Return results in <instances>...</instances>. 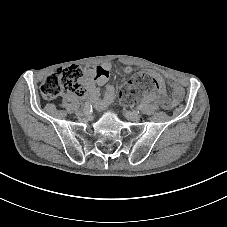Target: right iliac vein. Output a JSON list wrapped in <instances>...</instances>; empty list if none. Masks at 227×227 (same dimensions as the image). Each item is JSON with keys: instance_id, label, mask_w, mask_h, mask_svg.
<instances>
[{"instance_id": "obj_1", "label": "right iliac vein", "mask_w": 227, "mask_h": 227, "mask_svg": "<svg viewBox=\"0 0 227 227\" xmlns=\"http://www.w3.org/2000/svg\"><path fill=\"white\" fill-rule=\"evenodd\" d=\"M76 115H78V116H82V115H83V113H82L81 111L77 110V111H76Z\"/></svg>"}]
</instances>
